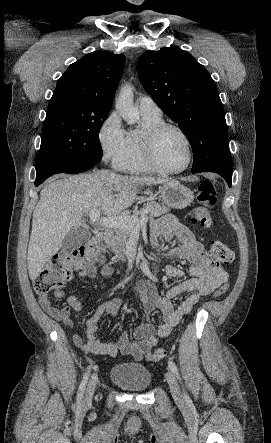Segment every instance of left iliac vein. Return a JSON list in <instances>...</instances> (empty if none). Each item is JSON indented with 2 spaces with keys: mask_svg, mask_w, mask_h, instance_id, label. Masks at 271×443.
Wrapping results in <instances>:
<instances>
[{
  "mask_svg": "<svg viewBox=\"0 0 271 443\" xmlns=\"http://www.w3.org/2000/svg\"><path fill=\"white\" fill-rule=\"evenodd\" d=\"M166 380L169 384V388H170V391H171L174 399L180 400L182 398L180 387H179V384L177 382L175 375L171 371H168L166 373Z\"/></svg>",
  "mask_w": 271,
  "mask_h": 443,
  "instance_id": "left-iliac-vein-1",
  "label": "left iliac vein"
}]
</instances>
